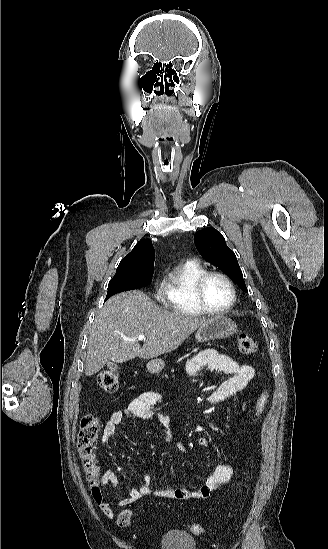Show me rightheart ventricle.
<instances>
[{
    "instance_id": "obj_1",
    "label": "right heart ventricle",
    "mask_w": 328,
    "mask_h": 549,
    "mask_svg": "<svg viewBox=\"0 0 328 549\" xmlns=\"http://www.w3.org/2000/svg\"><path fill=\"white\" fill-rule=\"evenodd\" d=\"M207 264L200 258L192 257L176 266L164 280L156 294L157 303H173V310H180V319H204L193 305L194 285L197 278L207 270Z\"/></svg>"
}]
</instances>
